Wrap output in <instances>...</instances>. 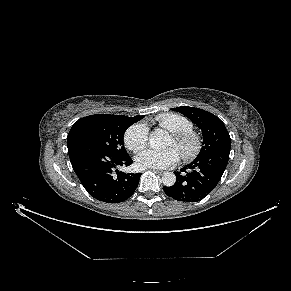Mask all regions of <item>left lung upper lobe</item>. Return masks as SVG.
I'll return each mask as SVG.
<instances>
[{
    "label": "left lung upper lobe",
    "mask_w": 291,
    "mask_h": 291,
    "mask_svg": "<svg viewBox=\"0 0 291 291\" xmlns=\"http://www.w3.org/2000/svg\"><path fill=\"white\" fill-rule=\"evenodd\" d=\"M172 110L192 120L201 130L203 146L196 159L209 156L217 151H230L231 139L224 123L215 115L205 110L181 106Z\"/></svg>",
    "instance_id": "5c2ea615"
}]
</instances>
